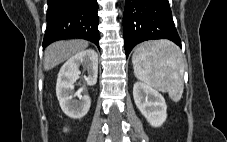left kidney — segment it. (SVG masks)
<instances>
[{
	"instance_id": "left-kidney-1",
	"label": "left kidney",
	"mask_w": 227,
	"mask_h": 142,
	"mask_svg": "<svg viewBox=\"0 0 227 142\" xmlns=\"http://www.w3.org/2000/svg\"><path fill=\"white\" fill-rule=\"evenodd\" d=\"M133 97L137 108L153 127H160L167 118V105L164 97L151 86L136 82Z\"/></svg>"
}]
</instances>
